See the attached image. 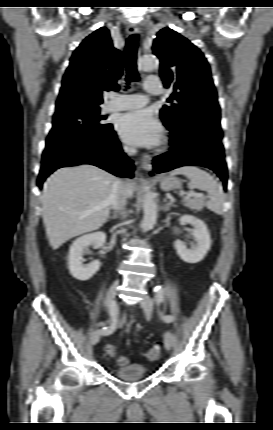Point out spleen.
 I'll return each instance as SVG.
<instances>
[{"label":"spleen","instance_id":"1","mask_svg":"<svg viewBox=\"0 0 273 430\" xmlns=\"http://www.w3.org/2000/svg\"><path fill=\"white\" fill-rule=\"evenodd\" d=\"M184 175L189 179L190 189L204 190L209 193V200L205 203L206 207L216 214H223L224 196L222 186L206 171L192 165H186L173 170L170 176Z\"/></svg>","mask_w":273,"mask_h":430}]
</instances>
